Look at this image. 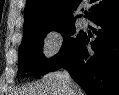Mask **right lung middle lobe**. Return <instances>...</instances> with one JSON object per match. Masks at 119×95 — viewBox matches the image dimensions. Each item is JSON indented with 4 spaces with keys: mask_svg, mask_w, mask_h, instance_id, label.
Masks as SVG:
<instances>
[{
    "mask_svg": "<svg viewBox=\"0 0 119 95\" xmlns=\"http://www.w3.org/2000/svg\"><path fill=\"white\" fill-rule=\"evenodd\" d=\"M53 30L60 32L65 39L59 53L47 59L42 53L43 40L47 33ZM74 33V21L49 23L25 32L19 47L18 66L20 72H26L32 76H43L50 72L82 36V34H78L73 37Z\"/></svg>",
    "mask_w": 119,
    "mask_h": 95,
    "instance_id": "right-lung-middle-lobe-1",
    "label": "right lung middle lobe"
}]
</instances>
